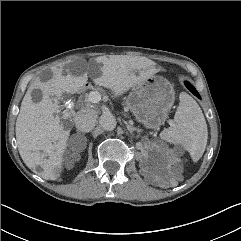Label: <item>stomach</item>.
Returning a JSON list of instances; mask_svg holds the SVG:
<instances>
[{
    "label": "stomach",
    "mask_w": 241,
    "mask_h": 241,
    "mask_svg": "<svg viewBox=\"0 0 241 241\" xmlns=\"http://www.w3.org/2000/svg\"><path fill=\"white\" fill-rule=\"evenodd\" d=\"M175 101L172 84L161 76H151L134 87L126 98V105L136 120L146 128L163 125Z\"/></svg>",
    "instance_id": "obj_1"
}]
</instances>
